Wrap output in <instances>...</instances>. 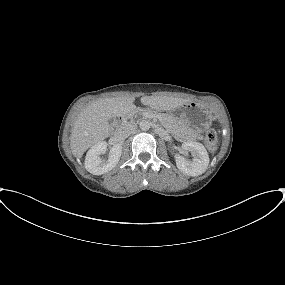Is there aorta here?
<instances>
[{"mask_svg": "<svg viewBox=\"0 0 285 285\" xmlns=\"http://www.w3.org/2000/svg\"><path fill=\"white\" fill-rule=\"evenodd\" d=\"M139 127L142 131H148L151 127V124L149 121L147 120H142L140 123H139Z\"/></svg>", "mask_w": 285, "mask_h": 285, "instance_id": "aorta-1", "label": "aorta"}]
</instances>
